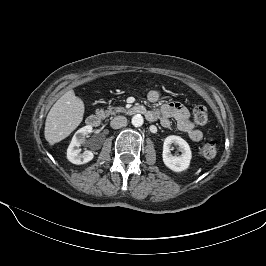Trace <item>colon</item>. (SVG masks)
Returning a JSON list of instances; mask_svg holds the SVG:
<instances>
[{"label": "colon", "instance_id": "colon-1", "mask_svg": "<svg viewBox=\"0 0 266 266\" xmlns=\"http://www.w3.org/2000/svg\"><path fill=\"white\" fill-rule=\"evenodd\" d=\"M194 122L199 126H204L209 122V115L204 106H197L193 112ZM200 155L204 159L211 160L217 155V143L214 140H208L200 148Z\"/></svg>", "mask_w": 266, "mask_h": 266}]
</instances>
